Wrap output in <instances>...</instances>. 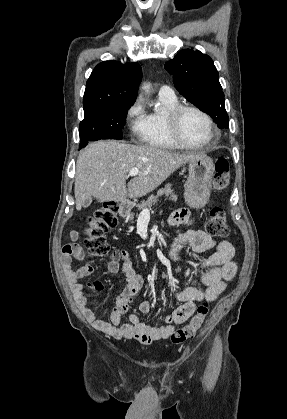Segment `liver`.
I'll use <instances>...</instances> for the list:
<instances>
[{
	"label": "liver",
	"instance_id": "liver-1",
	"mask_svg": "<svg viewBox=\"0 0 287 419\" xmlns=\"http://www.w3.org/2000/svg\"><path fill=\"white\" fill-rule=\"evenodd\" d=\"M204 156L115 140L91 143L79 153L76 162V209L80 211L88 197L98 202H119L145 196L182 165ZM132 168L148 174L136 175L127 185V174Z\"/></svg>",
	"mask_w": 287,
	"mask_h": 419
}]
</instances>
